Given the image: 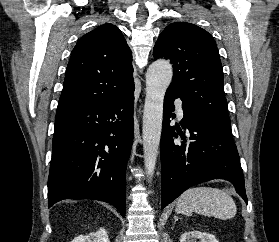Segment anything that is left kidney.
<instances>
[{
	"instance_id": "left-kidney-1",
	"label": "left kidney",
	"mask_w": 279,
	"mask_h": 242,
	"mask_svg": "<svg viewBox=\"0 0 279 242\" xmlns=\"http://www.w3.org/2000/svg\"><path fill=\"white\" fill-rule=\"evenodd\" d=\"M193 238L200 239V242H219L214 235L195 230L183 233L181 235L180 242H191Z\"/></svg>"
}]
</instances>
